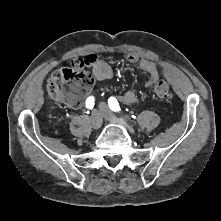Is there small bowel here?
<instances>
[{
	"instance_id": "obj_1",
	"label": "small bowel",
	"mask_w": 221,
	"mask_h": 221,
	"mask_svg": "<svg viewBox=\"0 0 221 221\" xmlns=\"http://www.w3.org/2000/svg\"><path fill=\"white\" fill-rule=\"evenodd\" d=\"M84 59L88 62V65L91 66L92 72L97 80L106 81L112 78V68L105 61L94 54L86 55ZM126 60L131 64H139L140 68L148 75V80L145 83L147 88H150L157 83L160 74L155 62L145 58L139 59L134 53L127 54ZM120 99L128 105H132L138 101V96L135 91L129 90L122 95Z\"/></svg>"
}]
</instances>
